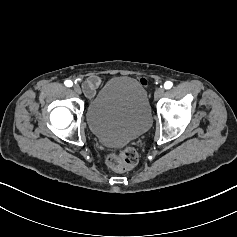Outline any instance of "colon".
<instances>
[{"instance_id":"5ec220e1","label":"colon","mask_w":237,"mask_h":237,"mask_svg":"<svg viewBox=\"0 0 237 237\" xmlns=\"http://www.w3.org/2000/svg\"><path fill=\"white\" fill-rule=\"evenodd\" d=\"M137 163L138 152L133 147H127L120 152H112L106 156V164L118 172L131 170Z\"/></svg>"}]
</instances>
